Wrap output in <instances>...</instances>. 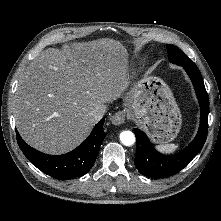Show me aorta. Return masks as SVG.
Returning <instances> with one entry per match:
<instances>
[{
    "label": "aorta",
    "instance_id": "aorta-1",
    "mask_svg": "<svg viewBox=\"0 0 221 221\" xmlns=\"http://www.w3.org/2000/svg\"><path fill=\"white\" fill-rule=\"evenodd\" d=\"M120 141L125 146H131L135 143V135L131 131H122L120 133Z\"/></svg>",
    "mask_w": 221,
    "mask_h": 221
}]
</instances>
